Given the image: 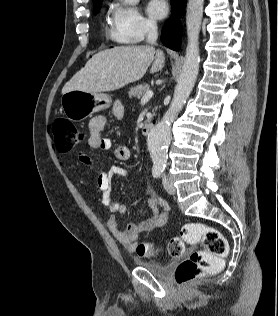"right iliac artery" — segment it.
Masks as SVG:
<instances>
[{"label":"right iliac artery","mask_w":278,"mask_h":316,"mask_svg":"<svg viewBox=\"0 0 278 316\" xmlns=\"http://www.w3.org/2000/svg\"><path fill=\"white\" fill-rule=\"evenodd\" d=\"M162 172H163V169H162V168H160V167H155V168H153V170H152V175H153L154 178H158V177H160V175L162 174Z\"/></svg>","instance_id":"82829eb1"}]
</instances>
